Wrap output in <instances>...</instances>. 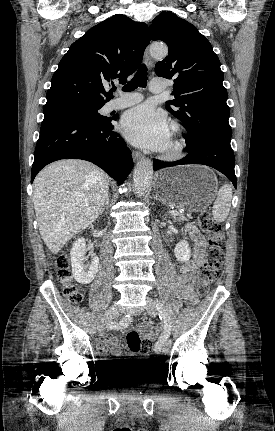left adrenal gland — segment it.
Instances as JSON below:
<instances>
[{
  "mask_svg": "<svg viewBox=\"0 0 275 431\" xmlns=\"http://www.w3.org/2000/svg\"><path fill=\"white\" fill-rule=\"evenodd\" d=\"M154 200H158V201H160V199L158 198V196L156 195V196H154Z\"/></svg>",
  "mask_w": 275,
  "mask_h": 431,
  "instance_id": "1",
  "label": "left adrenal gland"
}]
</instances>
